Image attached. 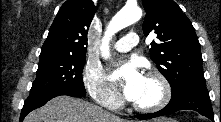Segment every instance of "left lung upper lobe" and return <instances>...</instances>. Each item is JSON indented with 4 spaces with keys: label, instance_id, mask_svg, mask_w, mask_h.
Returning a JSON list of instances; mask_svg holds the SVG:
<instances>
[{
    "label": "left lung upper lobe",
    "instance_id": "1",
    "mask_svg": "<svg viewBox=\"0 0 221 122\" xmlns=\"http://www.w3.org/2000/svg\"><path fill=\"white\" fill-rule=\"evenodd\" d=\"M143 32L157 34L150 57L172 88V96L190 87H206L200 44L192 23L172 0H142Z\"/></svg>",
    "mask_w": 221,
    "mask_h": 122
}]
</instances>
